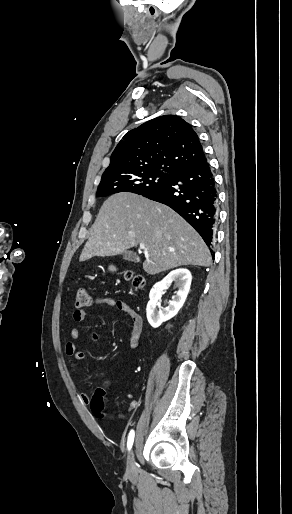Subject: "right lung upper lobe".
I'll list each match as a JSON object with an SVG mask.
<instances>
[{
	"instance_id": "1",
	"label": "right lung upper lobe",
	"mask_w": 292,
	"mask_h": 514,
	"mask_svg": "<svg viewBox=\"0 0 292 514\" xmlns=\"http://www.w3.org/2000/svg\"><path fill=\"white\" fill-rule=\"evenodd\" d=\"M204 158L202 145L192 126L179 116L164 115L124 135L113 151L102 179L145 172L172 175Z\"/></svg>"
}]
</instances>
